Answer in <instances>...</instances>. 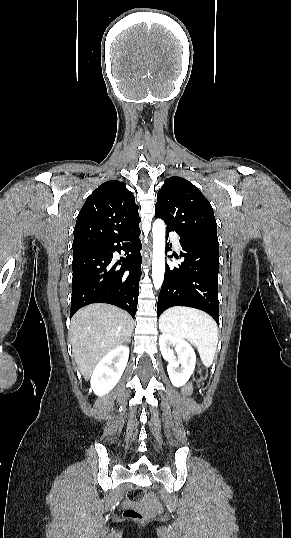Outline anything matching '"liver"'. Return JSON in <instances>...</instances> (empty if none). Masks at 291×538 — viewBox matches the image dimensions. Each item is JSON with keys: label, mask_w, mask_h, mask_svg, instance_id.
<instances>
[{"label": "liver", "mask_w": 291, "mask_h": 538, "mask_svg": "<svg viewBox=\"0 0 291 538\" xmlns=\"http://www.w3.org/2000/svg\"><path fill=\"white\" fill-rule=\"evenodd\" d=\"M133 328L132 317L109 304H91L76 312L70 324L72 355L86 380L102 357L130 339Z\"/></svg>", "instance_id": "1"}]
</instances>
